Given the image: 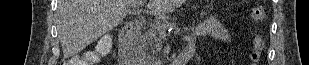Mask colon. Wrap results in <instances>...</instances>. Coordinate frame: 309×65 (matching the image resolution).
Returning a JSON list of instances; mask_svg holds the SVG:
<instances>
[{
    "instance_id": "5ec220e1",
    "label": "colon",
    "mask_w": 309,
    "mask_h": 65,
    "mask_svg": "<svg viewBox=\"0 0 309 65\" xmlns=\"http://www.w3.org/2000/svg\"><path fill=\"white\" fill-rule=\"evenodd\" d=\"M250 16L254 21H262L265 18V9L263 5L256 2L250 12ZM264 39L261 35H255L252 41L251 61L256 64L260 59V54L264 49ZM111 49V41L109 39H100L93 51H84L82 56L74 58L75 65H93L100 59L109 54Z\"/></svg>"
}]
</instances>
